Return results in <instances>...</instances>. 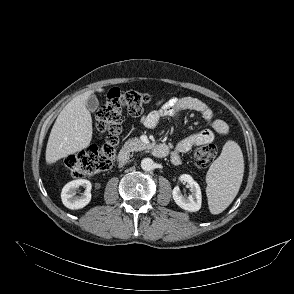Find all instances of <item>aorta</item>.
<instances>
[{
	"label": "aorta",
	"mask_w": 294,
	"mask_h": 294,
	"mask_svg": "<svg viewBox=\"0 0 294 294\" xmlns=\"http://www.w3.org/2000/svg\"><path fill=\"white\" fill-rule=\"evenodd\" d=\"M154 167H155V163H154V161L151 158H144L141 161V168L144 171H151V170L154 169Z\"/></svg>",
	"instance_id": "762f6f07"
}]
</instances>
